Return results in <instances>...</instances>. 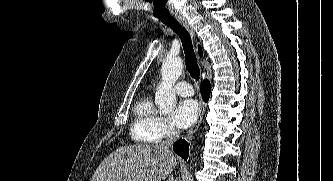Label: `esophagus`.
Returning a JSON list of instances; mask_svg holds the SVG:
<instances>
[{
	"label": "esophagus",
	"mask_w": 333,
	"mask_h": 181,
	"mask_svg": "<svg viewBox=\"0 0 333 181\" xmlns=\"http://www.w3.org/2000/svg\"><path fill=\"white\" fill-rule=\"evenodd\" d=\"M177 20L189 32L191 37L195 40V32H194L193 27L190 25V23L184 17H178ZM205 77H206L205 72L202 71L201 79L204 80ZM204 113H205V104H204V102H202L200 105L198 118H197L195 124L192 126V128L184 135V137H183L184 139L189 140L193 137L194 133L196 132V130L198 129L199 125L202 122Z\"/></svg>",
	"instance_id": "1"
}]
</instances>
